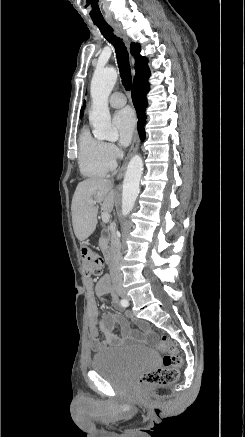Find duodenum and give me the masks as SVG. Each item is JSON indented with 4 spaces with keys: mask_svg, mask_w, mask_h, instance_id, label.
<instances>
[{
    "mask_svg": "<svg viewBox=\"0 0 245 437\" xmlns=\"http://www.w3.org/2000/svg\"><path fill=\"white\" fill-rule=\"evenodd\" d=\"M108 238H109V233L107 231H103L102 232V240H103V242H105ZM102 251H103V255H104L105 261L109 262L110 258H111V253H110L109 248L106 245H104L103 248H102ZM105 277L109 279V276L106 275Z\"/></svg>",
    "mask_w": 245,
    "mask_h": 437,
    "instance_id": "1",
    "label": "duodenum"
}]
</instances>
